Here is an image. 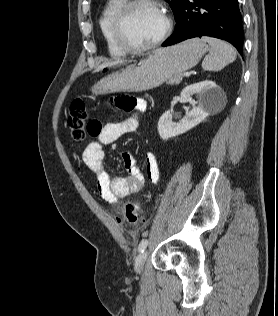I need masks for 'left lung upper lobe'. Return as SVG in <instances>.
<instances>
[{"mask_svg":"<svg viewBox=\"0 0 278 316\" xmlns=\"http://www.w3.org/2000/svg\"><path fill=\"white\" fill-rule=\"evenodd\" d=\"M166 1L169 3V5L174 13L175 20H176L177 17L179 16V11H180V8L182 6L183 0H166Z\"/></svg>","mask_w":278,"mask_h":316,"instance_id":"obj_1","label":"left lung upper lobe"}]
</instances>
